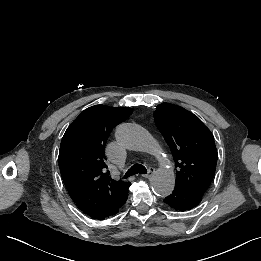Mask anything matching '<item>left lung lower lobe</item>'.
Returning a JSON list of instances; mask_svg holds the SVG:
<instances>
[{
    "mask_svg": "<svg viewBox=\"0 0 261 261\" xmlns=\"http://www.w3.org/2000/svg\"><path fill=\"white\" fill-rule=\"evenodd\" d=\"M201 200V196H198L184 188L175 186L173 193L166 197L164 202L172 209L183 212L196 207Z\"/></svg>",
    "mask_w": 261,
    "mask_h": 261,
    "instance_id": "obj_1",
    "label": "left lung lower lobe"
}]
</instances>
